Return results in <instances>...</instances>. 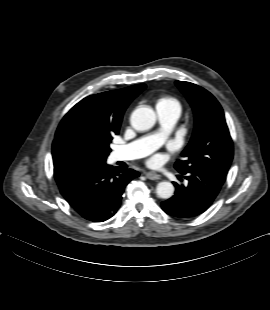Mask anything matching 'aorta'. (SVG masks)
<instances>
[{
	"label": "aorta",
	"mask_w": 270,
	"mask_h": 310,
	"mask_svg": "<svg viewBox=\"0 0 270 310\" xmlns=\"http://www.w3.org/2000/svg\"><path fill=\"white\" fill-rule=\"evenodd\" d=\"M131 125L138 131H146L151 129L156 123V114L150 107L144 106L133 111ZM156 193L160 198L169 199L174 194V186L168 181L157 184Z\"/></svg>",
	"instance_id": "1"
}]
</instances>
